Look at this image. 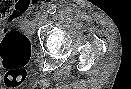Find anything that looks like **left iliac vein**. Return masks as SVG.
Segmentation results:
<instances>
[{
    "instance_id": "4c4485c4",
    "label": "left iliac vein",
    "mask_w": 131,
    "mask_h": 89,
    "mask_svg": "<svg viewBox=\"0 0 131 89\" xmlns=\"http://www.w3.org/2000/svg\"><path fill=\"white\" fill-rule=\"evenodd\" d=\"M47 19H48V13H47V12H44V13L41 15L40 19H39V24L45 23V22L47 21Z\"/></svg>"
}]
</instances>
